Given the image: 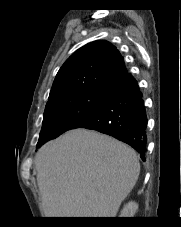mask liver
<instances>
[{"instance_id": "1", "label": "liver", "mask_w": 181, "mask_h": 227, "mask_svg": "<svg viewBox=\"0 0 181 227\" xmlns=\"http://www.w3.org/2000/svg\"><path fill=\"white\" fill-rule=\"evenodd\" d=\"M35 165L46 217H115L140 173L135 150L83 128L43 145Z\"/></svg>"}]
</instances>
